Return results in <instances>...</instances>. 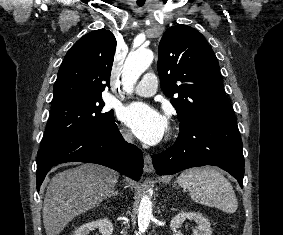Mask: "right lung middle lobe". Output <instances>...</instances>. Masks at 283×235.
Segmentation results:
<instances>
[{
    "label": "right lung middle lobe",
    "mask_w": 283,
    "mask_h": 235,
    "mask_svg": "<svg viewBox=\"0 0 283 235\" xmlns=\"http://www.w3.org/2000/svg\"><path fill=\"white\" fill-rule=\"evenodd\" d=\"M104 105L102 96L71 97L52 103L40 148L111 126L115 122L113 111L104 112Z\"/></svg>",
    "instance_id": "right-lung-middle-lobe-1"
}]
</instances>
